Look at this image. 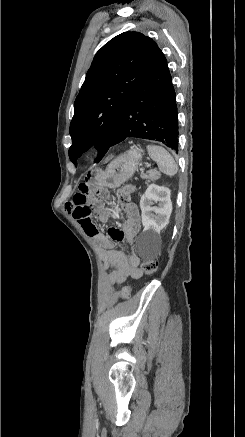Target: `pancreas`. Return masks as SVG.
<instances>
[{
    "label": "pancreas",
    "instance_id": "cf45deb5",
    "mask_svg": "<svg viewBox=\"0 0 245 437\" xmlns=\"http://www.w3.org/2000/svg\"><path fill=\"white\" fill-rule=\"evenodd\" d=\"M141 178L145 179L146 182L155 181L160 178V173L155 169H151L148 170L146 174H142Z\"/></svg>",
    "mask_w": 245,
    "mask_h": 437
}]
</instances>
